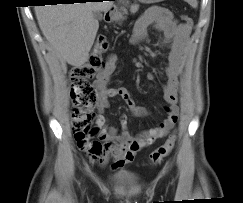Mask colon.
I'll use <instances>...</instances> for the list:
<instances>
[{
    "instance_id": "1",
    "label": "colon",
    "mask_w": 243,
    "mask_h": 203,
    "mask_svg": "<svg viewBox=\"0 0 243 203\" xmlns=\"http://www.w3.org/2000/svg\"><path fill=\"white\" fill-rule=\"evenodd\" d=\"M188 28L193 25V20L188 15L182 16ZM108 48L107 41L99 38L91 51L86 63L74 67L70 71L71 100H72V132L77 145L84 146L89 142L96 114L94 105L97 101V93L92 85L95 74L101 70L105 61L103 53ZM175 145V135L171 134L167 140L156 148L149 157L150 165L160 163L167 157Z\"/></svg>"
}]
</instances>
